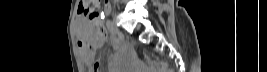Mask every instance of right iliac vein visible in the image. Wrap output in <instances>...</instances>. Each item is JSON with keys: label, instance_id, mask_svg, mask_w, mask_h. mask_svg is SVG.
Here are the masks:
<instances>
[{"label": "right iliac vein", "instance_id": "obj_1", "mask_svg": "<svg viewBox=\"0 0 267 72\" xmlns=\"http://www.w3.org/2000/svg\"><path fill=\"white\" fill-rule=\"evenodd\" d=\"M113 25H114V30L117 32L118 31V27H117V18H116V16H114Z\"/></svg>", "mask_w": 267, "mask_h": 72}]
</instances>
